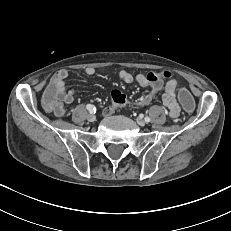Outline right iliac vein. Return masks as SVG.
Returning a JSON list of instances; mask_svg holds the SVG:
<instances>
[{
	"label": "right iliac vein",
	"instance_id": "63e3f726",
	"mask_svg": "<svg viewBox=\"0 0 231 231\" xmlns=\"http://www.w3.org/2000/svg\"><path fill=\"white\" fill-rule=\"evenodd\" d=\"M87 120L90 122H94L96 120V116L93 113H89L87 115Z\"/></svg>",
	"mask_w": 231,
	"mask_h": 231
}]
</instances>
